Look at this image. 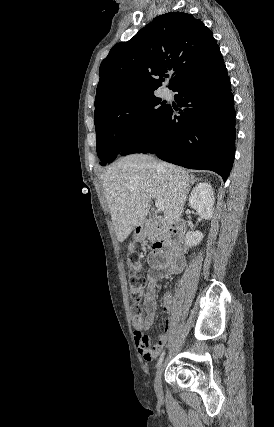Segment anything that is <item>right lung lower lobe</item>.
I'll return each instance as SVG.
<instances>
[{
  "mask_svg": "<svg viewBox=\"0 0 274 427\" xmlns=\"http://www.w3.org/2000/svg\"><path fill=\"white\" fill-rule=\"evenodd\" d=\"M180 115L169 106L143 138L120 154L155 153L190 169L211 170L224 181L235 155V110L225 65L196 74L173 90Z\"/></svg>",
  "mask_w": 274,
  "mask_h": 427,
  "instance_id": "obj_1",
  "label": "right lung lower lobe"
}]
</instances>
